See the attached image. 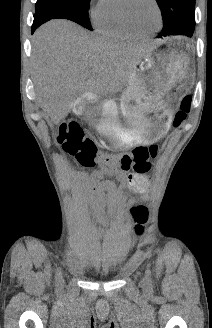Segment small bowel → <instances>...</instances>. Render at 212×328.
Here are the masks:
<instances>
[{
    "mask_svg": "<svg viewBox=\"0 0 212 328\" xmlns=\"http://www.w3.org/2000/svg\"><path fill=\"white\" fill-rule=\"evenodd\" d=\"M131 153V152H130ZM130 170H113L112 173H98L95 171L91 176L78 174L75 179L80 196L91 207L92 218L101 225H108L106 219V206L111 205V214L120 205V195L113 181L104 180V176H114L122 182V188L134 189L140 183L150 178L145 173L129 172Z\"/></svg>",
    "mask_w": 212,
    "mask_h": 328,
    "instance_id": "1",
    "label": "small bowel"
}]
</instances>
